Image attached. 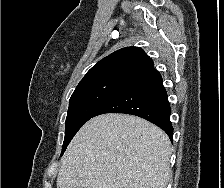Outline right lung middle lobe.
Wrapping results in <instances>:
<instances>
[{
	"label": "right lung middle lobe",
	"instance_id": "1",
	"mask_svg": "<svg viewBox=\"0 0 224 188\" xmlns=\"http://www.w3.org/2000/svg\"><path fill=\"white\" fill-rule=\"evenodd\" d=\"M130 81L126 78H105L78 84L70 98L62 154L77 131Z\"/></svg>",
	"mask_w": 224,
	"mask_h": 188
}]
</instances>
